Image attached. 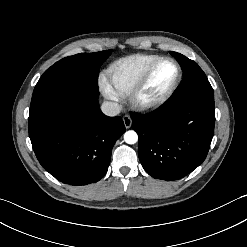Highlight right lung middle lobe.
<instances>
[{
	"label": "right lung middle lobe",
	"mask_w": 247,
	"mask_h": 247,
	"mask_svg": "<svg viewBox=\"0 0 247 247\" xmlns=\"http://www.w3.org/2000/svg\"><path fill=\"white\" fill-rule=\"evenodd\" d=\"M111 51L81 53L56 62L36 84L30 111L69 92H87L98 97V70Z\"/></svg>",
	"instance_id": "1"
}]
</instances>
